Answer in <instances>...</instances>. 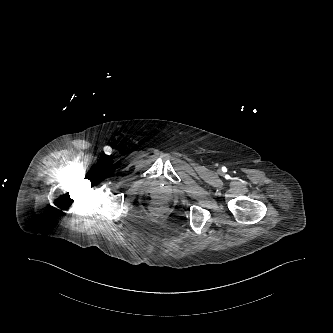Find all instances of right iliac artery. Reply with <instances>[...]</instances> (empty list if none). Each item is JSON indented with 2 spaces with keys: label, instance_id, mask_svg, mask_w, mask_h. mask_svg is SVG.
<instances>
[{
  "label": "right iliac artery",
  "instance_id": "obj_1",
  "mask_svg": "<svg viewBox=\"0 0 333 333\" xmlns=\"http://www.w3.org/2000/svg\"><path fill=\"white\" fill-rule=\"evenodd\" d=\"M104 152H105V154L109 155L111 153V147L105 146L104 147Z\"/></svg>",
  "mask_w": 333,
  "mask_h": 333
}]
</instances>
